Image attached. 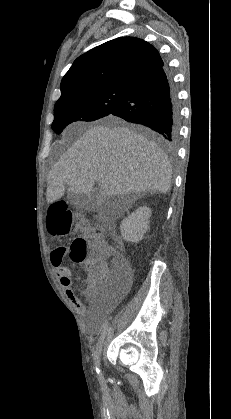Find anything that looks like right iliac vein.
<instances>
[{
  "label": "right iliac vein",
  "instance_id": "obj_1",
  "mask_svg": "<svg viewBox=\"0 0 231 419\" xmlns=\"http://www.w3.org/2000/svg\"><path fill=\"white\" fill-rule=\"evenodd\" d=\"M103 345H104V339L99 341L96 349L94 351V362L96 365H100V359H101V353H102V349H103Z\"/></svg>",
  "mask_w": 231,
  "mask_h": 419
}]
</instances>
